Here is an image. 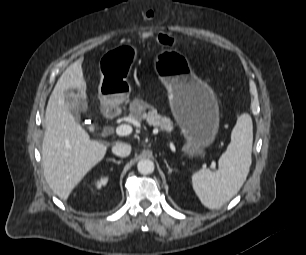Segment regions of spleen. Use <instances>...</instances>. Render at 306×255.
Listing matches in <instances>:
<instances>
[{
  "label": "spleen",
  "instance_id": "3e777b00",
  "mask_svg": "<svg viewBox=\"0 0 306 255\" xmlns=\"http://www.w3.org/2000/svg\"><path fill=\"white\" fill-rule=\"evenodd\" d=\"M252 143V119L244 113L231 132V142L218 161V170L201 169L192 176L193 189L205 207L218 209L239 192L252 163Z\"/></svg>",
  "mask_w": 306,
  "mask_h": 255
}]
</instances>
